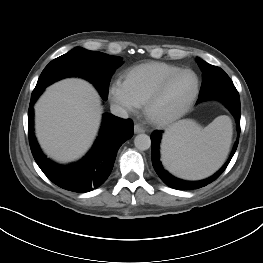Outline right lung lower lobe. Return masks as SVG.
Here are the masks:
<instances>
[{
  "label": "right lung lower lobe",
  "instance_id": "right-lung-lower-lobe-1",
  "mask_svg": "<svg viewBox=\"0 0 263 263\" xmlns=\"http://www.w3.org/2000/svg\"><path fill=\"white\" fill-rule=\"evenodd\" d=\"M42 91H33L28 111L29 143L36 163L53 183L63 189L84 193L98 188L110 175L120 146L133 136V122L105 113L91 151L77 163L58 165L42 153L33 132V105Z\"/></svg>",
  "mask_w": 263,
  "mask_h": 263
}]
</instances>
